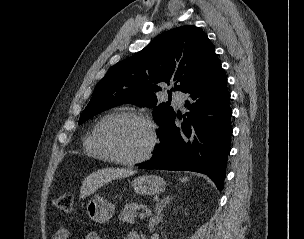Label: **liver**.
<instances>
[{"label": "liver", "mask_w": 304, "mask_h": 239, "mask_svg": "<svg viewBox=\"0 0 304 239\" xmlns=\"http://www.w3.org/2000/svg\"><path fill=\"white\" fill-rule=\"evenodd\" d=\"M135 174V171L130 169L119 168H104L93 172L88 175L82 182L80 188V195L82 198H86L98 190V188L111 182L115 179L125 178Z\"/></svg>", "instance_id": "6515ba94"}]
</instances>
